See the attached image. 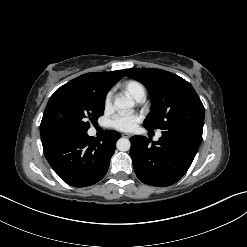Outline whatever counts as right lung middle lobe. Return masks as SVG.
<instances>
[{"label":"right lung middle lobe","mask_w":247,"mask_h":247,"mask_svg":"<svg viewBox=\"0 0 247 247\" xmlns=\"http://www.w3.org/2000/svg\"><path fill=\"white\" fill-rule=\"evenodd\" d=\"M105 94L86 84L70 86L50 98L40 125L49 139L79 137L87 134L90 122L104 113Z\"/></svg>","instance_id":"right-lung-middle-lobe-1"}]
</instances>
